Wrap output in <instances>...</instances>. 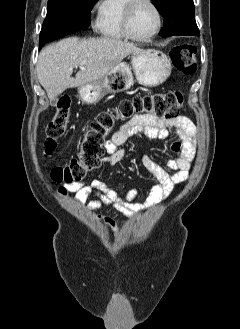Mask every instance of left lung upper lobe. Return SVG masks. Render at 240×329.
Listing matches in <instances>:
<instances>
[{
    "instance_id": "5c2ea615",
    "label": "left lung upper lobe",
    "mask_w": 240,
    "mask_h": 329,
    "mask_svg": "<svg viewBox=\"0 0 240 329\" xmlns=\"http://www.w3.org/2000/svg\"><path fill=\"white\" fill-rule=\"evenodd\" d=\"M164 17L162 37L173 35H199L195 21L193 0H152Z\"/></svg>"
}]
</instances>
